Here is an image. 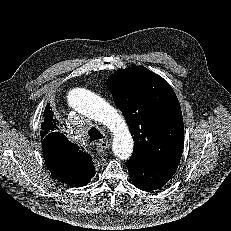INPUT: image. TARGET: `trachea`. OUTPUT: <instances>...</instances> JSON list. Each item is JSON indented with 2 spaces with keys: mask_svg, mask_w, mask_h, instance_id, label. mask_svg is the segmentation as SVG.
Segmentation results:
<instances>
[{
  "mask_svg": "<svg viewBox=\"0 0 231 231\" xmlns=\"http://www.w3.org/2000/svg\"><path fill=\"white\" fill-rule=\"evenodd\" d=\"M88 136L90 137L91 141L100 140L104 138L103 134L95 127L91 128L88 131Z\"/></svg>",
  "mask_w": 231,
  "mask_h": 231,
  "instance_id": "3493384b",
  "label": "trachea"
}]
</instances>
